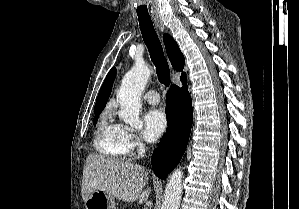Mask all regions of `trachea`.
<instances>
[{"mask_svg": "<svg viewBox=\"0 0 299 209\" xmlns=\"http://www.w3.org/2000/svg\"><path fill=\"white\" fill-rule=\"evenodd\" d=\"M143 40L150 52L151 59L156 67L158 80L165 86L170 85V71L164 56L162 45L156 34L150 17L138 16Z\"/></svg>", "mask_w": 299, "mask_h": 209, "instance_id": "trachea-1", "label": "trachea"}]
</instances>
